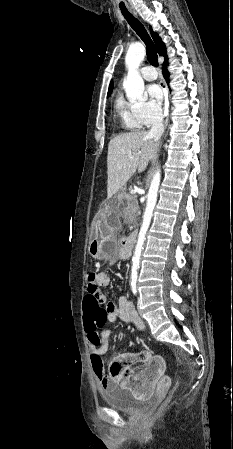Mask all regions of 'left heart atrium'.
I'll return each instance as SVG.
<instances>
[{"label":"left heart atrium","mask_w":233,"mask_h":449,"mask_svg":"<svg viewBox=\"0 0 233 449\" xmlns=\"http://www.w3.org/2000/svg\"><path fill=\"white\" fill-rule=\"evenodd\" d=\"M147 92L153 102H155L156 104H160L163 99V91L159 85H149L147 88Z\"/></svg>","instance_id":"39dd6f15"}]
</instances>
